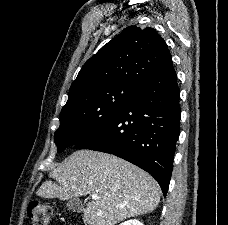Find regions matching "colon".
<instances>
[{"label": "colon", "mask_w": 228, "mask_h": 225, "mask_svg": "<svg viewBox=\"0 0 228 225\" xmlns=\"http://www.w3.org/2000/svg\"><path fill=\"white\" fill-rule=\"evenodd\" d=\"M27 215L33 225L50 224V207L42 201L32 200L27 207Z\"/></svg>", "instance_id": "obj_1"}]
</instances>
